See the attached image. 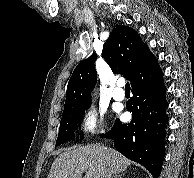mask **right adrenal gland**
<instances>
[{"instance_id": "2a0ac1e0", "label": "right adrenal gland", "mask_w": 194, "mask_h": 178, "mask_svg": "<svg viewBox=\"0 0 194 178\" xmlns=\"http://www.w3.org/2000/svg\"><path fill=\"white\" fill-rule=\"evenodd\" d=\"M122 176H124V174L123 175H116L114 178H122Z\"/></svg>"}]
</instances>
